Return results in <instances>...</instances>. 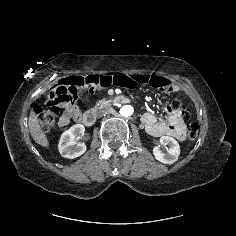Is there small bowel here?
Listing matches in <instances>:
<instances>
[{
  "label": "small bowel",
  "instance_id": "obj_1",
  "mask_svg": "<svg viewBox=\"0 0 236 236\" xmlns=\"http://www.w3.org/2000/svg\"><path fill=\"white\" fill-rule=\"evenodd\" d=\"M69 79V78H68ZM67 80V79H64ZM139 83L150 84L155 88H160L166 92H176L181 90L178 83L169 80L168 78L150 75V74H133L125 72H115L113 75H90L83 80V87L87 91L94 90H109L114 88H129L130 86ZM63 112L59 118V124L67 125L71 120L79 121L81 119V111L77 105L72 102L69 104H61ZM166 120L160 121L152 112H146L142 116L146 130L152 136H171L179 141L186 138L187 127L181 114L174 110L172 106H167L165 109Z\"/></svg>",
  "mask_w": 236,
  "mask_h": 236
}]
</instances>
